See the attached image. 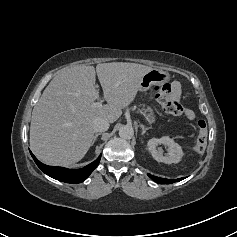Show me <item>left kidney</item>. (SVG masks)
I'll use <instances>...</instances> for the list:
<instances>
[{
    "label": "left kidney",
    "instance_id": "5707ae66",
    "mask_svg": "<svg viewBox=\"0 0 237 237\" xmlns=\"http://www.w3.org/2000/svg\"><path fill=\"white\" fill-rule=\"evenodd\" d=\"M147 145L153 158L158 162H163L166 164L178 163L183 156L181 146L167 136L161 137L159 139L152 138L148 141ZM158 145L166 146L168 148V153L163 155V149L158 147Z\"/></svg>",
    "mask_w": 237,
    "mask_h": 237
}]
</instances>
